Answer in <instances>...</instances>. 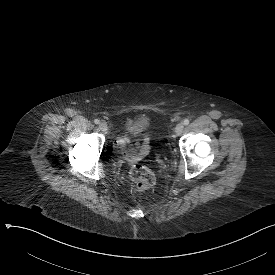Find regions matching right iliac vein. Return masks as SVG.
<instances>
[{
    "label": "right iliac vein",
    "instance_id": "obj_1",
    "mask_svg": "<svg viewBox=\"0 0 275 275\" xmlns=\"http://www.w3.org/2000/svg\"><path fill=\"white\" fill-rule=\"evenodd\" d=\"M99 128H100L102 131L107 130V124H106V122H101V123L99 124Z\"/></svg>",
    "mask_w": 275,
    "mask_h": 275
}]
</instances>
